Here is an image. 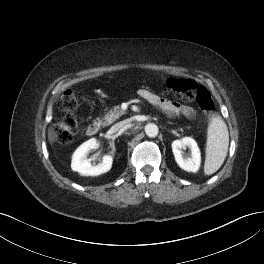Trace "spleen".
I'll list each match as a JSON object with an SVG mask.
<instances>
[{"label":"spleen","mask_w":264,"mask_h":264,"mask_svg":"<svg viewBox=\"0 0 264 264\" xmlns=\"http://www.w3.org/2000/svg\"><path fill=\"white\" fill-rule=\"evenodd\" d=\"M229 132L226 123L220 116L210 121L206 143L204 174L211 175L219 170L227 156Z\"/></svg>","instance_id":"obj_1"}]
</instances>
